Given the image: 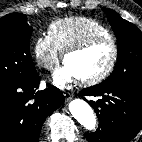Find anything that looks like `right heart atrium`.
Returning a JSON list of instances; mask_svg holds the SVG:
<instances>
[{"label":"right heart atrium","instance_id":"d8ad5b80","mask_svg":"<svg viewBox=\"0 0 142 142\" xmlns=\"http://www.w3.org/2000/svg\"><path fill=\"white\" fill-rule=\"evenodd\" d=\"M33 53L38 65L44 69L53 68L59 59L60 51L48 34L39 35L33 43Z\"/></svg>","mask_w":142,"mask_h":142}]
</instances>
